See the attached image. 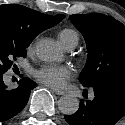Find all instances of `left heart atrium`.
Returning a JSON list of instances; mask_svg holds the SVG:
<instances>
[{
    "mask_svg": "<svg viewBox=\"0 0 125 125\" xmlns=\"http://www.w3.org/2000/svg\"><path fill=\"white\" fill-rule=\"evenodd\" d=\"M72 70L66 65L45 64L34 72L37 80L53 88L62 87L71 77Z\"/></svg>",
    "mask_w": 125,
    "mask_h": 125,
    "instance_id": "1",
    "label": "left heart atrium"
}]
</instances>
